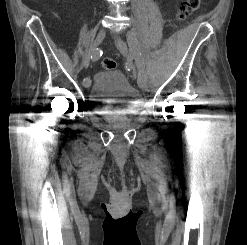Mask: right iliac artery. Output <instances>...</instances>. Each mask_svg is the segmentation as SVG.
Returning <instances> with one entry per match:
<instances>
[{
  "label": "right iliac artery",
  "mask_w": 247,
  "mask_h": 245,
  "mask_svg": "<svg viewBox=\"0 0 247 245\" xmlns=\"http://www.w3.org/2000/svg\"><path fill=\"white\" fill-rule=\"evenodd\" d=\"M101 55H102V51L100 49L96 48L95 50H93L91 52V54H90V56H89L88 59H84V61H83L84 62V65L85 66H88L89 65V62H90L91 57H98V59H99L101 57Z\"/></svg>",
  "instance_id": "right-iliac-artery-1"
}]
</instances>
